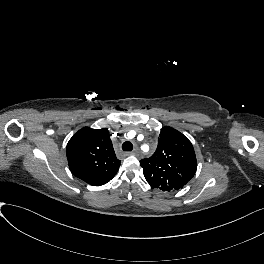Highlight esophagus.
Listing matches in <instances>:
<instances>
[{
	"instance_id": "obj_1",
	"label": "esophagus",
	"mask_w": 264,
	"mask_h": 264,
	"mask_svg": "<svg viewBox=\"0 0 264 264\" xmlns=\"http://www.w3.org/2000/svg\"><path fill=\"white\" fill-rule=\"evenodd\" d=\"M126 155L127 156H129V155H136V152L135 151H133V152H127Z\"/></svg>"
}]
</instances>
